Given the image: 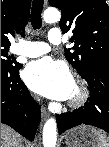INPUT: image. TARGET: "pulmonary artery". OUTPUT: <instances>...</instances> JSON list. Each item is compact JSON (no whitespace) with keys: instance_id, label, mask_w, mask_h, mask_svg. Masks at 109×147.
<instances>
[{"instance_id":"e3ab8cb5","label":"pulmonary artery","mask_w":109,"mask_h":147,"mask_svg":"<svg viewBox=\"0 0 109 147\" xmlns=\"http://www.w3.org/2000/svg\"><path fill=\"white\" fill-rule=\"evenodd\" d=\"M47 39L52 44H59L62 41V33L53 31L48 33ZM50 46L40 41H21L13 46V53L28 58H35L47 54Z\"/></svg>"}]
</instances>
